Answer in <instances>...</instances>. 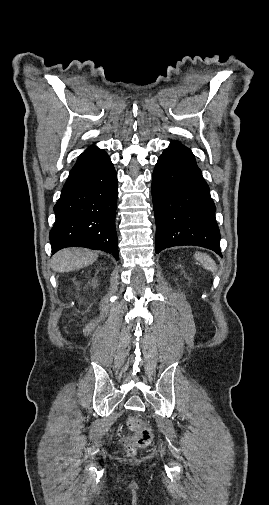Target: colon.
Instances as JSON below:
<instances>
[{
  "mask_svg": "<svg viewBox=\"0 0 269 505\" xmlns=\"http://www.w3.org/2000/svg\"><path fill=\"white\" fill-rule=\"evenodd\" d=\"M130 426L135 433L124 441V450L127 455H132L135 447L148 446L152 441V432L144 422L138 418H132Z\"/></svg>",
  "mask_w": 269,
  "mask_h": 505,
  "instance_id": "colon-1",
  "label": "colon"
}]
</instances>
